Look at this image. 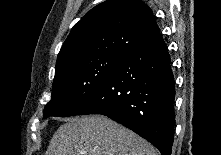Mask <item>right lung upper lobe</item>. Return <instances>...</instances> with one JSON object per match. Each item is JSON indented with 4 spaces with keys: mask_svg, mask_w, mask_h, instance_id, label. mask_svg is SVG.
<instances>
[{
    "mask_svg": "<svg viewBox=\"0 0 221 155\" xmlns=\"http://www.w3.org/2000/svg\"><path fill=\"white\" fill-rule=\"evenodd\" d=\"M159 34L152 10L140 0H107L74 25L57 58L55 72L79 59L126 54Z\"/></svg>",
    "mask_w": 221,
    "mask_h": 155,
    "instance_id": "1",
    "label": "right lung upper lobe"
}]
</instances>
